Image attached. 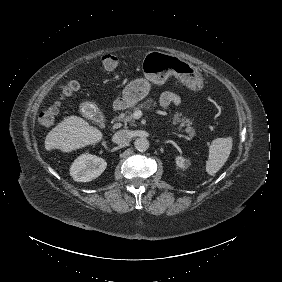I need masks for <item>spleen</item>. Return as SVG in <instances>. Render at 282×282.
<instances>
[{"instance_id": "3e777b00", "label": "spleen", "mask_w": 282, "mask_h": 282, "mask_svg": "<svg viewBox=\"0 0 282 282\" xmlns=\"http://www.w3.org/2000/svg\"><path fill=\"white\" fill-rule=\"evenodd\" d=\"M231 140L225 138L216 139L211 147L208 161L205 165L208 174L215 173L227 160L231 151Z\"/></svg>"}]
</instances>
